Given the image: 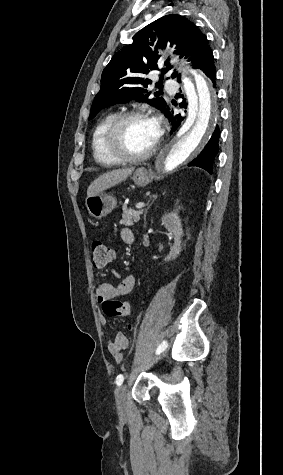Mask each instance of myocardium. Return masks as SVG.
Instances as JSON below:
<instances>
[{"instance_id":"obj_1","label":"myocardium","mask_w":283,"mask_h":475,"mask_svg":"<svg viewBox=\"0 0 283 475\" xmlns=\"http://www.w3.org/2000/svg\"><path fill=\"white\" fill-rule=\"evenodd\" d=\"M149 117L148 113L142 110H132L119 114L115 120L109 126L106 135L104 137L102 151H107L110 146L117 143L122 130V127L126 122L134 118ZM161 134V130H160ZM160 136V135H159ZM159 136L153 147L145 154L138 157H103L104 162H135V165L142 164L149 160L157 151L159 147Z\"/></svg>"}]
</instances>
